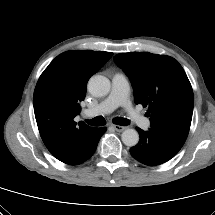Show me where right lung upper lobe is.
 <instances>
[{"instance_id": "cb5924a9", "label": "right lung upper lobe", "mask_w": 215, "mask_h": 215, "mask_svg": "<svg viewBox=\"0 0 215 215\" xmlns=\"http://www.w3.org/2000/svg\"><path fill=\"white\" fill-rule=\"evenodd\" d=\"M113 55L105 51H67L58 55L40 76L33 104L41 138L58 160L74 165L97 128L74 121L81 111L89 78Z\"/></svg>"}]
</instances>
